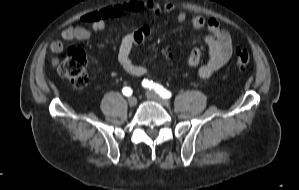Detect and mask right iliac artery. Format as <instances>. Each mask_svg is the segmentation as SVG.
<instances>
[{
	"instance_id": "1",
	"label": "right iliac artery",
	"mask_w": 299,
	"mask_h": 190,
	"mask_svg": "<svg viewBox=\"0 0 299 190\" xmlns=\"http://www.w3.org/2000/svg\"><path fill=\"white\" fill-rule=\"evenodd\" d=\"M122 93H123L125 96H130V95L132 94V90H131V88H129V87H124V88L122 89Z\"/></svg>"
}]
</instances>
